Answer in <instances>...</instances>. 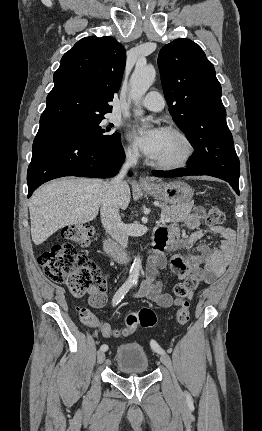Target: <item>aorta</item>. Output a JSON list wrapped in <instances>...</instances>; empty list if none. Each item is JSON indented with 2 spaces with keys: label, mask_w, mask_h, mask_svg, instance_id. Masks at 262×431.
Segmentation results:
<instances>
[{
  "label": "aorta",
  "mask_w": 262,
  "mask_h": 431,
  "mask_svg": "<svg viewBox=\"0 0 262 431\" xmlns=\"http://www.w3.org/2000/svg\"><path fill=\"white\" fill-rule=\"evenodd\" d=\"M156 77V71L153 66H140L137 65L130 79V97L138 107L135 109V114L138 116L143 115V111L139 108L141 98L148 91L153 84ZM142 268V260L139 256L135 257L130 269L129 281L137 284Z\"/></svg>",
  "instance_id": "obj_1"
}]
</instances>
